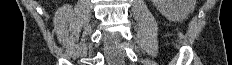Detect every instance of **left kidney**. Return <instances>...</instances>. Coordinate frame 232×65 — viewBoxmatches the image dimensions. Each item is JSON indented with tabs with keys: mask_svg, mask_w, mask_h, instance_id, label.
I'll return each instance as SVG.
<instances>
[{
	"mask_svg": "<svg viewBox=\"0 0 232 65\" xmlns=\"http://www.w3.org/2000/svg\"><path fill=\"white\" fill-rule=\"evenodd\" d=\"M159 12L171 21H183L194 11L196 0H152Z\"/></svg>",
	"mask_w": 232,
	"mask_h": 65,
	"instance_id": "obj_1",
	"label": "left kidney"
}]
</instances>
